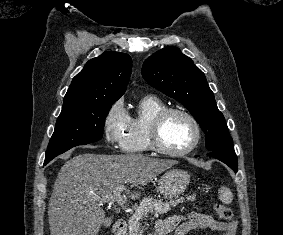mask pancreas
<instances>
[{"mask_svg":"<svg viewBox=\"0 0 283 235\" xmlns=\"http://www.w3.org/2000/svg\"><path fill=\"white\" fill-rule=\"evenodd\" d=\"M189 201H194L195 196H186ZM184 198H179L177 200H170L169 202H164L160 198L145 197L137 206L135 213L129 218V235H142V224L141 220L147 216V214L154 213L155 216L158 214L167 213L171 207L176 206L178 203H182Z\"/></svg>","mask_w":283,"mask_h":235,"instance_id":"pancreas-1","label":"pancreas"}]
</instances>
